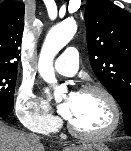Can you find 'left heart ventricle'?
<instances>
[{"instance_id":"1","label":"left heart ventricle","mask_w":131,"mask_h":151,"mask_svg":"<svg viewBox=\"0 0 131 151\" xmlns=\"http://www.w3.org/2000/svg\"><path fill=\"white\" fill-rule=\"evenodd\" d=\"M69 99V96L66 100ZM71 124L80 131L99 133L112 122V110L107 100L98 93L76 94L73 102Z\"/></svg>"}]
</instances>
